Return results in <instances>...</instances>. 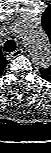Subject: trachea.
I'll list each match as a JSON object with an SVG mask.
<instances>
[{
  "label": "trachea",
  "mask_w": 51,
  "mask_h": 153,
  "mask_svg": "<svg viewBox=\"0 0 51 153\" xmlns=\"http://www.w3.org/2000/svg\"><path fill=\"white\" fill-rule=\"evenodd\" d=\"M17 49L16 42L14 40H7L4 44V50L7 53H12Z\"/></svg>",
  "instance_id": "obj_1"
}]
</instances>
